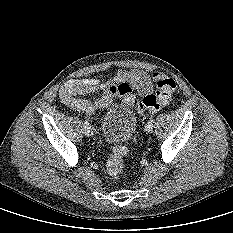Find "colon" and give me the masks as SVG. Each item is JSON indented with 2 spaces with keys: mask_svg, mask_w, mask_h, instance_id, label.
<instances>
[{
  "mask_svg": "<svg viewBox=\"0 0 233 233\" xmlns=\"http://www.w3.org/2000/svg\"><path fill=\"white\" fill-rule=\"evenodd\" d=\"M153 78L156 83V91L153 94L145 96L141 101L137 100L132 92L123 87L124 98L132 104L139 112H155L163 105L167 104L175 91V81L162 73H155ZM128 153L127 146L123 144L116 145L106 163L107 173L113 178L118 179L124 165V157Z\"/></svg>",
  "mask_w": 233,
  "mask_h": 233,
  "instance_id": "colon-1",
  "label": "colon"
}]
</instances>
